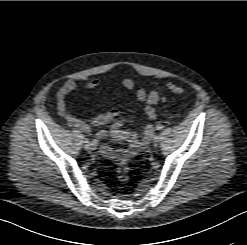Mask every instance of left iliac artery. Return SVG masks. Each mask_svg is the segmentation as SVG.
Returning a JSON list of instances; mask_svg holds the SVG:
<instances>
[{
    "instance_id": "1",
    "label": "left iliac artery",
    "mask_w": 247,
    "mask_h": 245,
    "mask_svg": "<svg viewBox=\"0 0 247 245\" xmlns=\"http://www.w3.org/2000/svg\"><path fill=\"white\" fill-rule=\"evenodd\" d=\"M163 128V126L161 125V124H158L157 126H156V130H161Z\"/></svg>"
}]
</instances>
